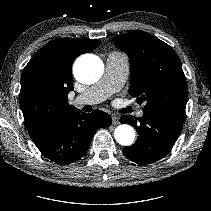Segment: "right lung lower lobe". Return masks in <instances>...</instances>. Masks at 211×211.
<instances>
[{
    "mask_svg": "<svg viewBox=\"0 0 211 211\" xmlns=\"http://www.w3.org/2000/svg\"><path fill=\"white\" fill-rule=\"evenodd\" d=\"M111 116L101 110L86 114L76 110L60 120L44 137L34 142L40 152L53 162L70 164L89 149L94 132L108 127Z\"/></svg>",
    "mask_w": 211,
    "mask_h": 211,
    "instance_id": "98d812e1",
    "label": "right lung lower lobe"
}]
</instances>
